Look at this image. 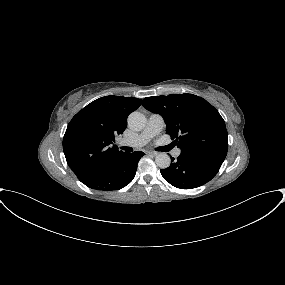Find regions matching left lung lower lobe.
Listing matches in <instances>:
<instances>
[{
    "instance_id": "obj_1",
    "label": "left lung lower lobe",
    "mask_w": 285,
    "mask_h": 285,
    "mask_svg": "<svg viewBox=\"0 0 285 285\" xmlns=\"http://www.w3.org/2000/svg\"><path fill=\"white\" fill-rule=\"evenodd\" d=\"M223 161L207 156L180 154L166 169L160 170L163 178L181 189H192L210 181L219 171Z\"/></svg>"
}]
</instances>
